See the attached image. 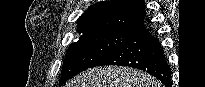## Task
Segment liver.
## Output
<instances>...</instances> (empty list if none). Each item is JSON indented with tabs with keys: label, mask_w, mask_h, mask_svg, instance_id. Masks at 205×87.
<instances>
[{
	"label": "liver",
	"mask_w": 205,
	"mask_h": 87,
	"mask_svg": "<svg viewBox=\"0 0 205 87\" xmlns=\"http://www.w3.org/2000/svg\"><path fill=\"white\" fill-rule=\"evenodd\" d=\"M65 87H161L149 74L129 67L90 68L66 83Z\"/></svg>",
	"instance_id": "obj_1"
}]
</instances>
